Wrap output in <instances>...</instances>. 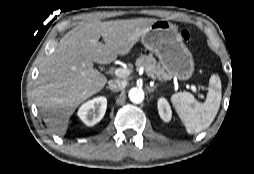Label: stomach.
Instances as JSON below:
<instances>
[{
  "label": "stomach",
  "instance_id": "stomach-1",
  "mask_svg": "<svg viewBox=\"0 0 254 174\" xmlns=\"http://www.w3.org/2000/svg\"><path fill=\"white\" fill-rule=\"evenodd\" d=\"M146 49L155 53L162 68L181 81L190 79L195 70L193 56L184 44L176 25L168 20H156L142 36Z\"/></svg>",
  "mask_w": 254,
  "mask_h": 174
}]
</instances>
